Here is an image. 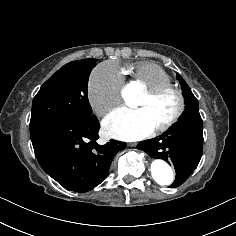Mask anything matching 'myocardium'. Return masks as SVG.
Here are the masks:
<instances>
[{
	"label": "myocardium",
	"instance_id": "myocardium-1",
	"mask_svg": "<svg viewBox=\"0 0 236 236\" xmlns=\"http://www.w3.org/2000/svg\"><path fill=\"white\" fill-rule=\"evenodd\" d=\"M144 94L150 101H156L168 94L172 95L176 100V109L174 113L163 125L154 129L156 134H162L169 131L183 117L186 109V98L183 91L175 85H161L150 90H145Z\"/></svg>",
	"mask_w": 236,
	"mask_h": 236
}]
</instances>
